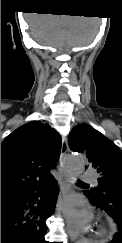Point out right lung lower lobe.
I'll use <instances>...</instances> for the list:
<instances>
[{
	"label": "right lung lower lobe",
	"mask_w": 122,
	"mask_h": 243,
	"mask_svg": "<svg viewBox=\"0 0 122 243\" xmlns=\"http://www.w3.org/2000/svg\"><path fill=\"white\" fill-rule=\"evenodd\" d=\"M57 190L51 176L2 196L1 243H46V219L54 209Z\"/></svg>",
	"instance_id": "98d812e1"
}]
</instances>
